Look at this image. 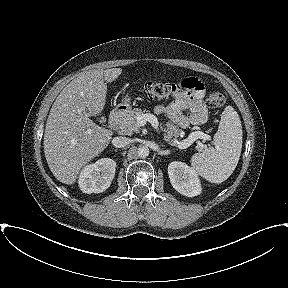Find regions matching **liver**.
<instances>
[{
  "label": "liver",
  "instance_id": "1",
  "mask_svg": "<svg viewBox=\"0 0 288 288\" xmlns=\"http://www.w3.org/2000/svg\"><path fill=\"white\" fill-rule=\"evenodd\" d=\"M121 73V68L83 73L53 103L44 133V153L58 181L75 183L81 169L108 146L113 132L96 125L89 117L102 112L107 83Z\"/></svg>",
  "mask_w": 288,
  "mask_h": 288
}]
</instances>
